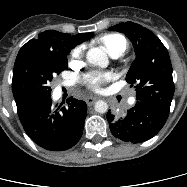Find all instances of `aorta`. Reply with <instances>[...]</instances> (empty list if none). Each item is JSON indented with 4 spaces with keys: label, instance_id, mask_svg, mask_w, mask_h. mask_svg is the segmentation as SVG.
<instances>
[{
    "label": "aorta",
    "instance_id": "obj_1",
    "mask_svg": "<svg viewBox=\"0 0 187 187\" xmlns=\"http://www.w3.org/2000/svg\"><path fill=\"white\" fill-rule=\"evenodd\" d=\"M86 58L90 64L99 66L101 68H105L109 64L107 54L104 50L98 47L89 49L86 54ZM94 109L96 112L103 114L107 112L108 105L105 101L99 100L95 103Z\"/></svg>",
    "mask_w": 187,
    "mask_h": 187
}]
</instances>
